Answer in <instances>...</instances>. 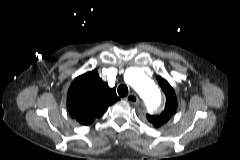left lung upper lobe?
<instances>
[{
    "label": "left lung upper lobe",
    "instance_id": "5c2ea615",
    "mask_svg": "<svg viewBox=\"0 0 240 160\" xmlns=\"http://www.w3.org/2000/svg\"><path fill=\"white\" fill-rule=\"evenodd\" d=\"M157 80L166 96L165 108L163 112H161V114L146 115L148 121L151 124H153L156 128L161 127L164 123H166L172 117V115L174 114L177 108V99H176L174 89L162 77L158 76Z\"/></svg>",
    "mask_w": 240,
    "mask_h": 160
}]
</instances>
